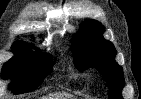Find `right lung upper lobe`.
<instances>
[{"mask_svg":"<svg viewBox=\"0 0 141 99\" xmlns=\"http://www.w3.org/2000/svg\"><path fill=\"white\" fill-rule=\"evenodd\" d=\"M16 43H24V42L18 41V42H16ZM24 44H26V43H24Z\"/></svg>","mask_w":141,"mask_h":99,"instance_id":"cb5924a9","label":"right lung upper lobe"}]
</instances>
